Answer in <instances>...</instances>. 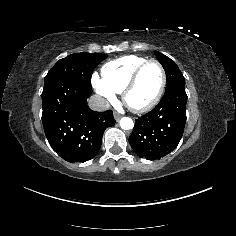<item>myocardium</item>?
<instances>
[{
    "label": "myocardium",
    "instance_id": "obj_1",
    "mask_svg": "<svg viewBox=\"0 0 236 236\" xmlns=\"http://www.w3.org/2000/svg\"><path fill=\"white\" fill-rule=\"evenodd\" d=\"M149 64H156L160 68L161 83H160L159 89H158L155 97L146 105L133 106L128 101V95L131 92V90L133 89V87L135 86L142 70ZM166 84H167V73H166V70H165V67L163 66V64L160 61L155 60V59L146 60L136 67V69L133 71L131 77L129 78L127 84L125 85V87L122 91L123 102L130 110H132L134 112H137V113L147 112V111L153 109L160 102V100L164 94Z\"/></svg>",
    "mask_w": 236,
    "mask_h": 236
}]
</instances>
